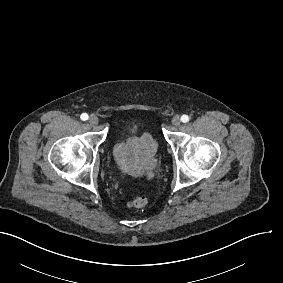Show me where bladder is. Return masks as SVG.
Returning <instances> with one entry per match:
<instances>
[{"label":"bladder","instance_id":"obj_1","mask_svg":"<svg viewBox=\"0 0 283 283\" xmlns=\"http://www.w3.org/2000/svg\"><path fill=\"white\" fill-rule=\"evenodd\" d=\"M140 130V126L138 124L129 125L124 129V133L138 135Z\"/></svg>","mask_w":283,"mask_h":283}]
</instances>
